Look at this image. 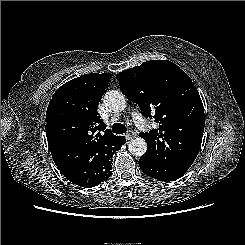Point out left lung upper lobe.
Returning <instances> with one entry per match:
<instances>
[{
	"label": "left lung upper lobe",
	"instance_id": "5c2ea615",
	"mask_svg": "<svg viewBox=\"0 0 245 245\" xmlns=\"http://www.w3.org/2000/svg\"><path fill=\"white\" fill-rule=\"evenodd\" d=\"M122 92L153 117L158 129L140 133L142 156L165 166L189 169L201 147L205 126L202 100L190 77L176 64L151 60L117 74Z\"/></svg>",
	"mask_w": 245,
	"mask_h": 245
}]
</instances>
